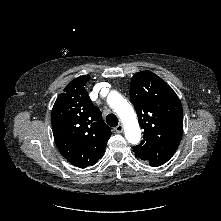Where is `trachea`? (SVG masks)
I'll list each match as a JSON object with an SVG mask.
<instances>
[{"label": "trachea", "mask_w": 221, "mask_h": 221, "mask_svg": "<svg viewBox=\"0 0 221 221\" xmlns=\"http://www.w3.org/2000/svg\"><path fill=\"white\" fill-rule=\"evenodd\" d=\"M106 122L110 127H116L118 125V118L115 114L110 113L106 117Z\"/></svg>", "instance_id": "trachea-1"}]
</instances>
